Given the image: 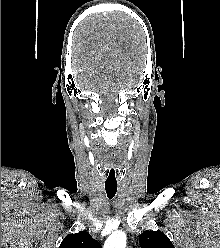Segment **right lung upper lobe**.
<instances>
[{
	"label": "right lung upper lobe",
	"instance_id": "obj_1",
	"mask_svg": "<svg viewBox=\"0 0 220 248\" xmlns=\"http://www.w3.org/2000/svg\"><path fill=\"white\" fill-rule=\"evenodd\" d=\"M59 248H101V245L88 232L83 231L66 236Z\"/></svg>",
	"mask_w": 220,
	"mask_h": 248
}]
</instances>
